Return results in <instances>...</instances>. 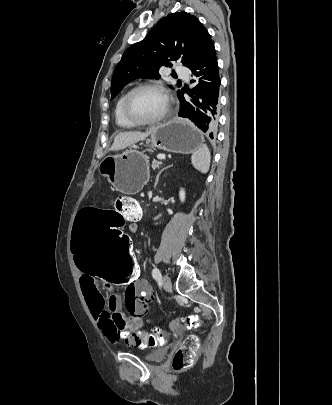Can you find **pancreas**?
Returning <instances> with one entry per match:
<instances>
[{
  "label": "pancreas",
  "instance_id": "cf45deb5",
  "mask_svg": "<svg viewBox=\"0 0 332 405\" xmlns=\"http://www.w3.org/2000/svg\"><path fill=\"white\" fill-rule=\"evenodd\" d=\"M160 162H158V161H153V163H152V168H158L159 166H160Z\"/></svg>",
  "mask_w": 332,
  "mask_h": 405
}]
</instances>
